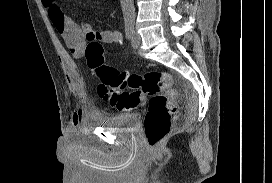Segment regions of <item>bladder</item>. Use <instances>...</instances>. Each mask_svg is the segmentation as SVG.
Returning <instances> with one entry per match:
<instances>
[{"label": "bladder", "mask_w": 272, "mask_h": 183, "mask_svg": "<svg viewBox=\"0 0 272 183\" xmlns=\"http://www.w3.org/2000/svg\"><path fill=\"white\" fill-rule=\"evenodd\" d=\"M96 121L106 129L129 133L136 130L140 121V116L137 113H125L113 116H103Z\"/></svg>", "instance_id": "31cf9c89"}]
</instances>
